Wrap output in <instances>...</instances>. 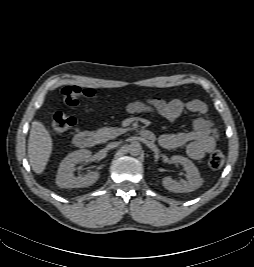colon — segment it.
<instances>
[{
    "label": "colon",
    "mask_w": 254,
    "mask_h": 267,
    "mask_svg": "<svg viewBox=\"0 0 254 267\" xmlns=\"http://www.w3.org/2000/svg\"><path fill=\"white\" fill-rule=\"evenodd\" d=\"M95 92L92 89H81L77 86H67L62 90L64 103L69 107H75L81 101L94 97ZM76 123L75 118L58 111L54 113L50 125V132L54 135L62 134L70 130ZM208 164L212 169H220L224 164V155L216 150L209 156Z\"/></svg>",
    "instance_id": "1"
}]
</instances>
